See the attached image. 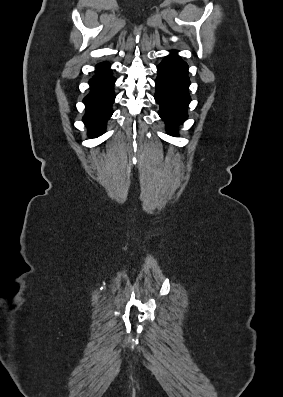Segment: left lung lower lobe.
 Returning a JSON list of instances; mask_svg holds the SVG:
<instances>
[{
    "instance_id": "left-lung-lower-lobe-1",
    "label": "left lung lower lobe",
    "mask_w": 283,
    "mask_h": 397,
    "mask_svg": "<svg viewBox=\"0 0 283 397\" xmlns=\"http://www.w3.org/2000/svg\"><path fill=\"white\" fill-rule=\"evenodd\" d=\"M176 53L171 51L157 66L154 96L160 105L158 114L165 121L168 134L173 136L177 135V125L187 120V107L191 101L188 65Z\"/></svg>"
}]
</instances>
